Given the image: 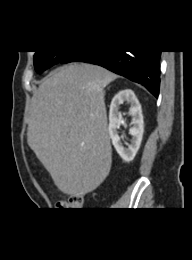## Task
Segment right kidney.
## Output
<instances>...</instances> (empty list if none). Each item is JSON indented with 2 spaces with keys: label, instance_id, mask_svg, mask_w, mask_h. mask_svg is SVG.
Returning a JSON list of instances; mask_svg holds the SVG:
<instances>
[{
  "label": "right kidney",
  "instance_id": "ca27d5eb",
  "mask_svg": "<svg viewBox=\"0 0 192 260\" xmlns=\"http://www.w3.org/2000/svg\"><path fill=\"white\" fill-rule=\"evenodd\" d=\"M124 102H127L130 105L129 114L132 116L133 121V127L129 130V134L132 136V139L128 147L123 146L121 138L118 134L120 125L123 122L122 114L119 111V106ZM108 131L112 144L119 156L125 162L132 161L140 147L144 131L141 105L132 90H123L112 99L109 110Z\"/></svg>",
  "mask_w": 192,
  "mask_h": 260
}]
</instances>
